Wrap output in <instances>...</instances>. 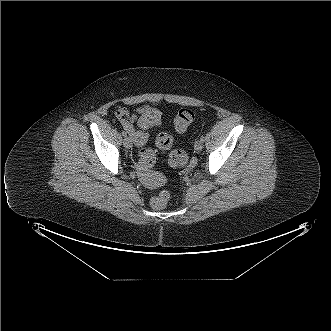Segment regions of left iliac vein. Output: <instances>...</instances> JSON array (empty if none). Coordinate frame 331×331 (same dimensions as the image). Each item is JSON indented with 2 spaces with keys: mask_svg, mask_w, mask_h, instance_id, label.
Returning a JSON list of instances; mask_svg holds the SVG:
<instances>
[{
  "mask_svg": "<svg viewBox=\"0 0 331 331\" xmlns=\"http://www.w3.org/2000/svg\"><path fill=\"white\" fill-rule=\"evenodd\" d=\"M194 149L195 151L197 152H200L202 149H203V143L201 140H197L195 143H194Z\"/></svg>",
  "mask_w": 331,
  "mask_h": 331,
  "instance_id": "obj_1",
  "label": "left iliac vein"
}]
</instances>
